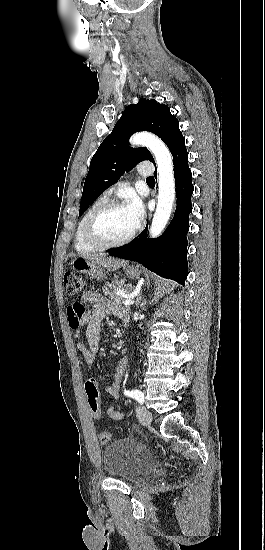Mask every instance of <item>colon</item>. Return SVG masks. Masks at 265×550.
Here are the masks:
<instances>
[{"label":"colon","mask_w":265,"mask_h":550,"mask_svg":"<svg viewBox=\"0 0 265 550\" xmlns=\"http://www.w3.org/2000/svg\"><path fill=\"white\" fill-rule=\"evenodd\" d=\"M64 284H65V291L67 295L72 297L80 294L85 288L84 278L78 273H75L72 271L65 272ZM75 304H80V303H75ZM69 324L71 327H74L78 324V322L77 320L70 319ZM84 389H85L87 405L92 416L96 418L101 417L102 415L101 398H100V392H99L97 383L94 380L89 379L85 382ZM99 441L102 445L109 444L111 441V433L107 430L101 431L99 434Z\"/></svg>","instance_id":"obj_1"}]
</instances>
